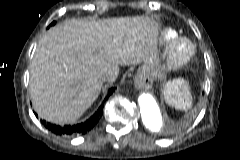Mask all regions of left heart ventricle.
I'll return each mask as SVG.
<instances>
[{
    "mask_svg": "<svg viewBox=\"0 0 240 160\" xmlns=\"http://www.w3.org/2000/svg\"><path fill=\"white\" fill-rule=\"evenodd\" d=\"M185 46L184 45H182L181 47H180V50L183 52V51H185Z\"/></svg>",
    "mask_w": 240,
    "mask_h": 160,
    "instance_id": "obj_1",
    "label": "left heart ventricle"
}]
</instances>
